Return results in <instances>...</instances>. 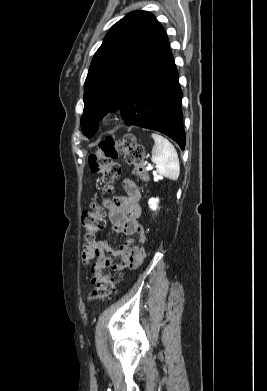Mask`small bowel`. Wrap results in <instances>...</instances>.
Instances as JSON below:
<instances>
[{
  "mask_svg": "<svg viewBox=\"0 0 267 391\" xmlns=\"http://www.w3.org/2000/svg\"><path fill=\"white\" fill-rule=\"evenodd\" d=\"M123 187L126 194L107 201L106 204L113 231L124 233L130 238L118 249H113L106 239H98L85 245L82 253L83 261L90 263L95 258V261L90 264L92 283H97L103 277L106 268L117 272L128 267L136 268L146 257L145 230L138 221L141 215V193L131 179H125ZM114 259H117L118 263H115Z\"/></svg>",
  "mask_w": 267,
  "mask_h": 391,
  "instance_id": "c3829d8e",
  "label": "small bowel"
}]
</instances>
